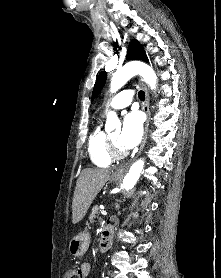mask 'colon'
I'll list each match as a JSON object with an SVG mask.
<instances>
[{"mask_svg":"<svg viewBox=\"0 0 221 278\" xmlns=\"http://www.w3.org/2000/svg\"><path fill=\"white\" fill-rule=\"evenodd\" d=\"M65 278H83V274L79 268L70 267L66 271Z\"/></svg>","mask_w":221,"mask_h":278,"instance_id":"1","label":"colon"}]
</instances>
